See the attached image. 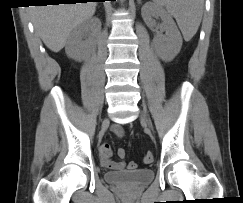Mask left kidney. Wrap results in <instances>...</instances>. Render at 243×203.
Listing matches in <instances>:
<instances>
[{
	"label": "left kidney",
	"instance_id": "5707ae66",
	"mask_svg": "<svg viewBox=\"0 0 243 203\" xmlns=\"http://www.w3.org/2000/svg\"><path fill=\"white\" fill-rule=\"evenodd\" d=\"M141 15L149 27L155 26L153 17L161 18L162 24L159 27L161 31L166 32V35L163 36L158 33L154 38L153 46L157 55L163 61H172L180 52L183 40L170 14L156 3L149 2L142 7Z\"/></svg>",
	"mask_w": 243,
	"mask_h": 203
}]
</instances>
